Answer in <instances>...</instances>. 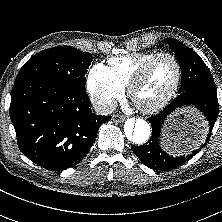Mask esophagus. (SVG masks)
Masks as SVG:
<instances>
[{
  "label": "esophagus",
  "instance_id": "34e87169",
  "mask_svg": "<svg viewBox=\"0 0 222 222\" xmlns=\"http://www.w3.org/2000/svg\"><path fill=\"white\" fill-rule=\"evenodd\" d=\"M112 119H113V121H116V122H122V121H124L125 118L123 116L117 114V115H113Z\"/></svg>",
  "mask_w": 222,
  "mask_h": 222
}]
</instances>
